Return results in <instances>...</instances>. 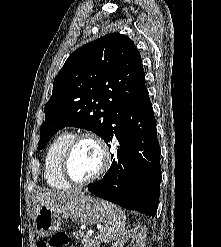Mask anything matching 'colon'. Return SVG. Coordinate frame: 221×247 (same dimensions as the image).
I'll list each match as a JSON object with an SVG mask.
<instances>
[{
  "label": "colon",
  "mask_w": 221,
  "mask_h": 247,
  "mask_svg": "<svg viewBox=\"0 0 221 247\" xmlns=\"http://www.w3.org/2000/svg\"><path fill=\"white\" fill-rule=\"evenodd\" d=\"M67 238L63 234H56L48 240L39 242V247H65Z\"/></svg>",
  "instance_id": "5ec220e1"
}]
</instances>
